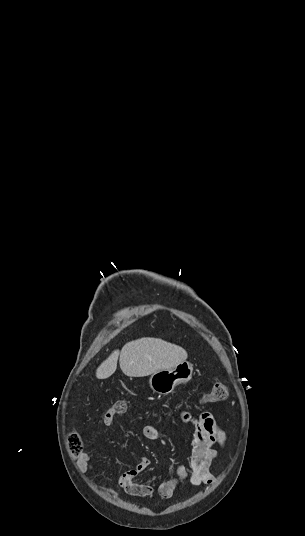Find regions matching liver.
<instances>
[{"instance_id":"liver-1","label":"liver","mask_w":305,"mask_h":536,"mask_svg":"<svg viewBox=\"0 0 305 536\" xmlns=\"http://www.w3.org/2000/svg\"><path fill=\"white\" fill-rule=\"evenodd\" d=\"M119 358L120 368L129 378H143L150 376L159 370H170L176 364L185 362L188 358L186 350L169 344L158 338H141L128 342L123 346L121 352L114 350L109 358L102 362L96 370L98 380H106L116 372Z\"/></svg>"}]
</instances>
